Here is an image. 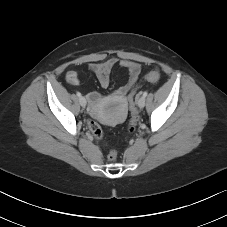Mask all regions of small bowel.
<instances>
[{
  "label": "small bowel",
  "instance_id": "obj_1",
  "mask_svg": "<svg viewBox=\"0 0 227 227\" xmlns=\"http://www.w3.org/2000/svg\"><path fill=\"white\" fill-rule=\"evenodd\" d=\"M116 65H119L128 72V79L123 86L113 92V97L124 99L134 88L139 78L141 73L140 64L125 59L119 60L113 57L101 62H92L88 65V69L95 74L102 88H108L110 85V73ZM65 79L71 85H78L80 83L78 73L73 70L66 73ZM88 100L92 109H94L100 103L101 95L98 92H90L88 94Z\"/></svg>",
  "mask_w": 227,
  "mask_h": 227
}]
</instances>
